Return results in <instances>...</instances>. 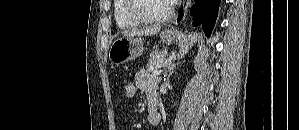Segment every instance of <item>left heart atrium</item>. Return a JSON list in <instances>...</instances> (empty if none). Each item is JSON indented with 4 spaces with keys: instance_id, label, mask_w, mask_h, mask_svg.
I'll return each instance as SVG.
<instances>
[{
    "instance_id": "1",
    "label": "left heart atrium",
    "mask_w": 299,
    "mask_h": 130,
    "mask_svg": "<svg viewBox=\"0 0 299 130\" xmlns=\"http://www.w3.org/2000/svg\"><path fill=\"white\" fill-rule=\"evenodd\" d=\"M169 4H174L177 2V0H167Z\"/></svg>"
}]
</instances>
